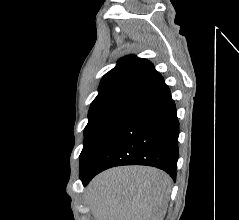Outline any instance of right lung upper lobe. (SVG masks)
I'll use <instances>...</instances> for the list:
<instances>
[{
	"instance_id": "cb5924a9",
	"label": "right lung upper lobe",
	"mask_w": 239,
	"mask_h": 220,
	"mask_svg": "<svg viewBox=\"0 0 239 220\" xmlns=\"http://www.w3.org/2000/svg\"><path fill=\"white\" fill-rule=\"evenodd\" d=\"M162 83L164 79L151 62L136 56H126L103 76L99 94L90 106L89 115L119 106H132Z\"/></svg>"
}]
</instances>
